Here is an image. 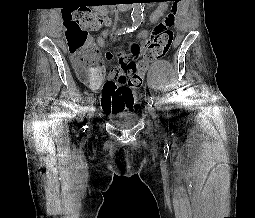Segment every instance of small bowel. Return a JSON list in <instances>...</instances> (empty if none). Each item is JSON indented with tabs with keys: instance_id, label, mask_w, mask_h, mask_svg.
<instances>
[{
	"instance_id": "small-bowel-1",
	"label": "small bowel",
	"mask_w": 255,
	"mask_h": 218,
	"mask_svg": "<svg viewBox=\"0 0 255 218\" xmlns=\"http://www.w3.org/2000/svg\"><path fill=\"white\" fill-rule=\"evenodd\" d=\"M166 9H167L166 5H160L157 9H155L152 12V14L150 16V21L152 23H157L160 20V18L164 15V13L166 12ZM109 35H110L109 31L104 30L97 37L96 43H97V46L99 48H103V47L106 46ZM128 61H129V57L124 53H120L119 54L120 66H119L118 69H116V70L112 71L111 73H109V77L113 78L116 73L124 74L125 67H126V64L128 63ZM102 100H103V94H102V97H101V105H102Z\"/></svg>"
}]
</instances>
